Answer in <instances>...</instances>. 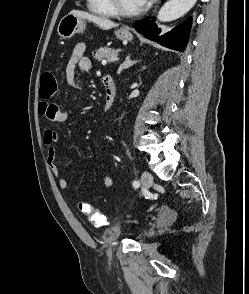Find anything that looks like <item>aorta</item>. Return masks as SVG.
<instances>
[{"mask_svg": "<svg viewBox=\"0 0 249 294\" xmlns=\"http://www.w3.org/2000/svg\"><path fill=\"white\" fill-rule=\"evenodd\" d=\"M197 0H169L158 12L157 18L162 22L176 20L185 15Z\"/></svg>", "mask_w": 249, "mask_h": 294, "instance_id": "aorta-1", "label": "aorta"}]
</instances>
